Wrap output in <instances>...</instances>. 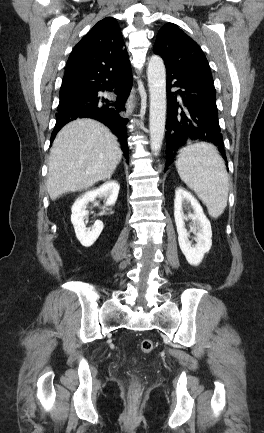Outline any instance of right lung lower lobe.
Returning <instances> with one entry per match:
<instances>
[{
	"instance_id": "1",
	"label": "right lung lower lobe",
	"mask_w": 264,
	"mask_h": 433,
	"mask_svg": "<svg viewBox=\"0 0 264 433\" xmlns=\"http://www.w3.org/2000/svg\"><path fill=\"white\" fill-rule=\"evenodd\" d=\"M131 88L130 63L119 68L103 66L66 73L60 89V102L51 141L68 122L77 118H93L108 126L118 136L128 158V119L122 116V112L125 111V101ZM101 92L114 93L113 100L105 98Z\"/></svg>"
}]
</instances>
